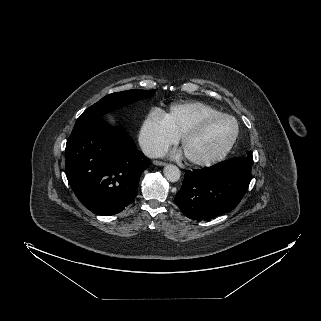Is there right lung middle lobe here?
Listing matches in <instances>:
<instances>
[{
    "mask_svg": "<svg viewBox=\"0 0 321 321\" xmlns=\"http://www.w3.org/2000/svg\"><path fill=\"white\" fill-rule=\"evenodd\" d=\"M154 94L151 90H127L109 94L99 100L97 103L87 108L77 121L101 117L103 114L115 110L119 107L132 103L134 101L145 99Z\"/></svg>",
    "mask_w": 321,
    "mask_h": 321,
    "instance_id": "dd1d6c3e",
    "label": "right lung middle lobe"
}]
</instances>
